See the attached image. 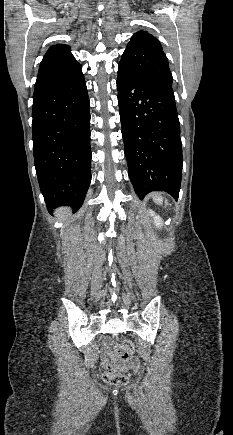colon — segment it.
Returning <instances> with one entry per match:
<instances>
[{"instance_id":"obj_1","label":"colon","mask_w":233,"mask_h":435,"mask_svg":"<svg viewBox=\"0 0 233 435\" xmlns=\"http://www.w3.org/2000/svg\"><path fill=\"white\" fill-rule=\"evenodd\" d=\"M134 352V344L130 340H124L121 343L113 345L111 352L112 361L125 360L132 356ZM130 375L128 373H119L117 369L108 365L105 368L103 379L106 383L111 385H126L130 382Z\"/></svg>"}]
</instances>
